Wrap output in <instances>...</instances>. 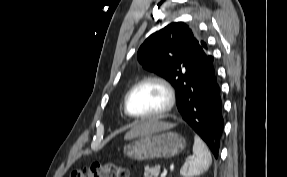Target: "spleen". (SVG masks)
<instances>
[{"label":"spleen","mask_w":287,"mask_h":177,"mask_svg":"<svg viewBox=\"0 0 287 177\" xmlns=\"http://www.w3.org/2000/svg\"><path fill=\"white\" fill-rule=\"evenodd\" d=\"M194 157L186 161L180 170L183 177L199 176L207 171L212 163L211 154L199 136L194 137Z\"/></svg>","instance_id":"3e777b00"}]
</instances>
